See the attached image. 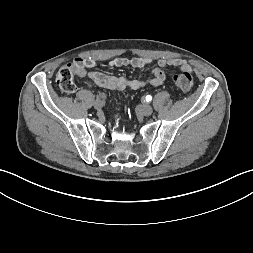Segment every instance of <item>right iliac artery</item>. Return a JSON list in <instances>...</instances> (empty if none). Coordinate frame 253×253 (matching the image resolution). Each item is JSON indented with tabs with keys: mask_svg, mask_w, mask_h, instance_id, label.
<instances>
[{
	"mask_svg": "<svg viewBox=\"0 0 253 253\" xmlns=\"http://www.w3.org/2000/svg\"><path fill=\"white\" fill-rule=\"evenodd\" d=\"M107 98V96H106V94H104V93H100V94H98L97 95V100H100V99H106Z\"/></svg>",
	"mask_w": 253,
	"mask_h": 253,
	"instance_id": "right-iliac-artery-1",
	"label": "right iliac artery"
}]
</instances>
